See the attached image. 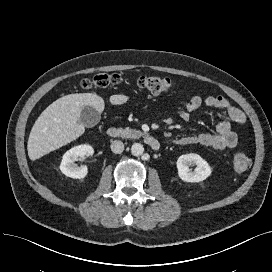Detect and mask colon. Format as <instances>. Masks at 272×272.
I'll list each match as a JSON object with an SVG mask.
<instances>
[{
    "mask_svg": "<svg viewBox=\"0 0 272 272\" xmlns=\"http://www.w3.org/2000/svg\"><path fill=\"white\" fill-rule=\"evenodd\" d=\"M123 82V78L118 74H98L92 78L83 79L80 83L84 90L107 89L117 86ZM136 86L146 90L151 94L159 95L171 91L175 87V82L168 77L162 76H141L134 80ZM251 165L250 158L244 153H237L233 158V168L237 173H243Z\"/></svg>",
    "mask_w": 272,
    "mask_h": 272,
    "instance_id": "colon-1",
    "label": "colon"
}]
</instances>
